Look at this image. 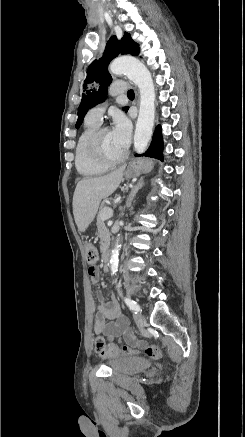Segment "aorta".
<instances>
[{
	"label": "aorta",
	"mask_w": 245,
	"mask_h": 437,
	"mask_svg": "<svg viewBox=\"0 0 245 437\" xmlns=\"http://www.w3.org/2000/svg\"><path fill=\"white\" fill-rule=\"evenodd\" d=\"M110 72L115 75H126L140 91V107L134 134V148L137 153H143L150 142L155 119V88L151 73L138 59L124 56L115 59L110 65ZM120 235L111 250V273L118 269V255L121 247Z\"/></svg>",
	"instance_id": "obj_1"
}]
</instances>
